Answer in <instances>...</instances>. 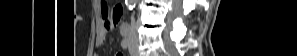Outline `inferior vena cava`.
Wrapping results in <instances>:
<instances>
[{
  "mask_svg": "<svg viewBox=\"0 0 297 56\" xmlns=\"http://www.w3.org/2000/svg\"><path fill=\"white\" fill-rule=\"evenodd\" d=\"M134 25H135V19H134V16L131 17V36L133 38H136V32H135V29H134Z\"/></svg>",
  "mask_w": 297,
  "mask_h": 56,
  "instance_id": "602c4592",
  "label": "inferior vena cava"
}]
</instances>
